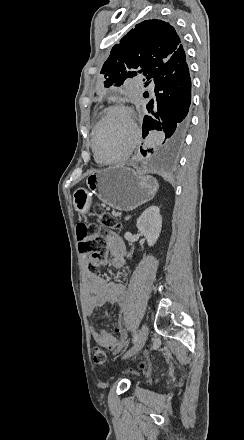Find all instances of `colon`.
<instances>
[{
  "label": "colon",
  "mask_w": 244,
  "mask_h": 440,
  "mask_svg": "<svg viewBox=\"0 0 244 440\" xmlns=\"http://www.w3.org/2000/svg\"><path fill=\"white\" fill-rule=\"evenodd\" d=\"M93 216V222L77 225L76 238L79 242L80 253L88 255L89 270L95 272L107 259V242L101 231L103 229L120 230L122 225L114 214L103 212L99 206L94 207ZM92 361L96 366L106 364V354L102 348L93 349ZM139 368L144 369L145 365L140 364Z\"/></svg>",
  "instance_id": "colon-1"
}]
</instances>
